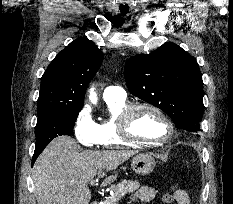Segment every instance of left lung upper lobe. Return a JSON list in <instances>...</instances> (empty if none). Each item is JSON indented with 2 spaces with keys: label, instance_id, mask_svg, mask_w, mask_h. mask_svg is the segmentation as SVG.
I'll list each match as a JSON object with an SVG mask.
<instances>
[{
  "label": "left lung upper lobe",
  "instance_id": "5c2ea615",
  "mask_svg": "<svg viewBox=\"0 0 233 204\" xmlns=\"http://www.w3.org/2000/svg\"><path fill=\"white\" fill-rule=\"evenodd\" d=\"M124 75L131 94L171 117L178 129L197 136L203 116V81L197 61L175 43L128 59Z\"/></svg>",
  "mask_w": 233,
  "mask_h": 204
}]
</instances>
